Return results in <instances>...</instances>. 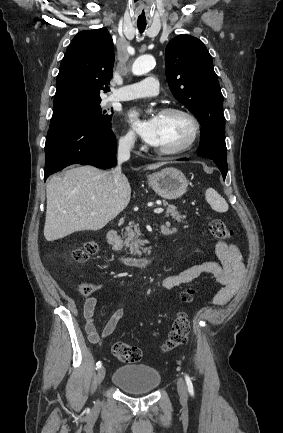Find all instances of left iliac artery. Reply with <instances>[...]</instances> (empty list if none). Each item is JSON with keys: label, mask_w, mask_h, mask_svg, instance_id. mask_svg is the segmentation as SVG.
Wrapping results in <instances>:
<instances>
[{"label": "left iliac artery", "mask_w": 283, "mask_h": 433, "mask_svg": "<svg viewBox=\"0 0 283 433\" xmlns=\"http://www.w3.org/2000/svg\"><path fill=\"white\" fill-rule=\"evenodd\" d=\"M185 380H186V384L188 386V391L190 393V395H194V389H193V384L191 382V379L188 375H185Z\"/></svg>", "instance_id": "44dca946"}]
</instances>
